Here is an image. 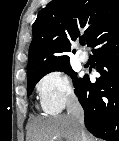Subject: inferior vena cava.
<instances>
[{"label":"inferior vena cava","instance_id":"602c4592","mask_svg":"<svg viewBox=\"0 0 119 141\" xmlns=\"http://www.w3.org/2000/svg\"><path fill=\"white\" fill-rule=\"evenodd\" d=\"M67 113L72 116L81 141H88L84 127V110L75 95H71L67 102Z\"/></svg>","mask_w":119,"mask_h":141}]
</instances>
